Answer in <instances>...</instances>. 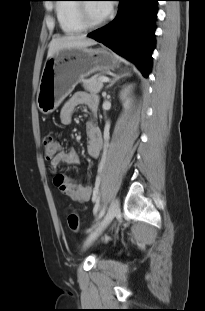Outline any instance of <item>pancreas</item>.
<instances>
[{"label":"pancreas","instance_id":"cf45deb5","mask_svg":"<svg viewBox=\"0 0 205 311\" xmlns=\"http://www.w3.org/2000/svg\"><path fill=\"white\" fill-rule=\"evenodd\" d=\"M102 77L103 76H99V77L91 78L88 80H83L84 89L93 94L99 93L102 90L103 83H104L100 81Z\"/></svg>","mask_w":205,"mask_h":311}]
</instances>
